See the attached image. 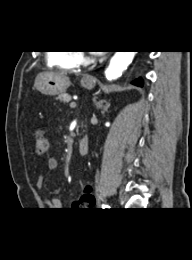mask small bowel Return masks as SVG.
<instances>
[{
  "mask_svg": "<svg viewBox=\"0 0 192 260\" xmlns=\"http://www.w3.org/2000/svg\"><path fill=\"white\" fill-rule=\"evenodd\" d=\"M58 168V162L55 158H49L47 160V169L51 172L56 171ZM45 177L44 175H39L37 179V187L41 188L44 184ZM44 204L47 208L51 210H59L63 207V204L60 199L58 198H46L43 199ZM95 200L94 196H87V197H80L78 201L75 203V206L77 208H91L94 206Z\"/></svg>",
  "mask_w": 192,
  "mask_h": 260,
  "instance_id": "obj_1",
  "label": "small bowel"
}]
</instances>
